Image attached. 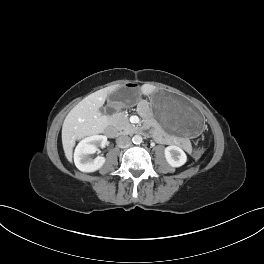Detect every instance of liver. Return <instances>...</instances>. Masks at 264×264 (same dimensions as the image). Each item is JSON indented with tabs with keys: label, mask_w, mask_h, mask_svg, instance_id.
<instances>
[{
	"label": "liver",
	"mask_w": 264,
	"mask_h": 264,
	"mask_svg": "<svg viewBox=\"0 0 264 264\" xmlns=\"http://www.w3.org/2000/svg\"><path fill=\"white\" fill-rule=\"evenodd\" d=\"M115 89V87H108L88 95L66 116L62 126V144L68 161H72L76 140L105 131L109 119L106 115H102L99 109L105 103L107 95ZM155 90L156 87L152 85L141 87V92L145 95Z\"/></svg>",
	"instance_id": "1"
}]
</instances>
